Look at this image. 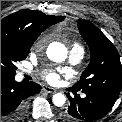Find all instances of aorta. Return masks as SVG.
<instances>
[{"label": "aorta", "mask_w": 122, "mask_h": 122, "mask_svg": "<svg viewBox=\"0 0 122 122\" xmlns=\"http://www.w3.org/2000/svg\"><path fill=\"white\" fill-rule=\"evenodd\" d=\"M67 48L64 44L59 42H52L47 48V56L54 62H62L67 58ZM53 104L57 107H61L66 102V97L62 93H56L53 95Z\"/></svg>", "instance_id": "762f6f07"}]
</instances>
